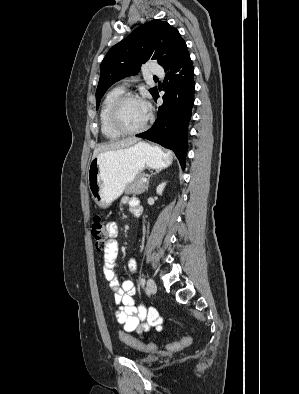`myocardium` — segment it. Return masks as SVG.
Wrapping results in <instances>:
<instances>
[{"instance_id": "f54148a6", "label": "myocardium", "mask_w": 299, "mask_h": 394, "mask_svg": "<svg viewBox=\"0 0 299 394\" xmlns=\"http://www.w3.org/2000/svg\"><path fill=\"white\" fill-rule=\"evenodd\" d=\"M128 100L142 101V99L138 95H135L132 93H123L113 102V104L110 108V113H109L110 124H111L112 128L115 131H117L118 133H120L121 135H134V134H138V133L144 131L148 127V125L151 121V118H152L151 113L148 111L147 118L141 126L135 128V129L125 128L120 122L119 114H120V109H121L122 105Z\"/></svg>"}]
</instances>
